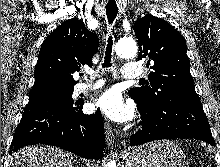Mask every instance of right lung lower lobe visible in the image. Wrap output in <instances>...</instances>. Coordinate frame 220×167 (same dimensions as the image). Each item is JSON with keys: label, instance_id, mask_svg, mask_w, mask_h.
<instances>
[{"label": "right lung lower lobe", "instance_id": "right-lung-lower-lobe-1", "mask_svg": "<svg viewBox=\"0 0 220 167\" xmlns=\"http://www.w3.org/2000/svg\"><path fill=\"white\" fill-rule=\"evenodd\" d=\"M83 102L53 95L29 101L10 152L37 143L63 148L87 159L103 158L104 124L100 110L85 115Z\"/></svg>", "mask_w": 220, "mask_h": 167}]
</instances>
